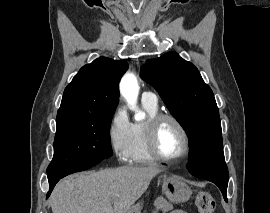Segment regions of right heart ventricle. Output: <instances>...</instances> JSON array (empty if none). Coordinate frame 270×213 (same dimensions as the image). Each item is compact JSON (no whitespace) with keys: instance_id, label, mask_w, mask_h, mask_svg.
Listing matches in <instances>:
<instances>
[{"instance_id":"right-heart-ventricle-1","label":"right heart ventricle","mask_w":270,"mask_h":213,"mask_svg":"<svg viewBox=\"0 0 270 213\" xmlns=\"http://www.w3.org/2000/svg\"><path fill=\"white\" fill-rule=\"evenodd\" d=\"M142 106L148 115V119L158 113V104L153 105L142 101ZM145 121H135L130 125V142L127 151V161L133 164L151 163L154 159L146 145V124Z\"/></svg>"}]
</instances>
